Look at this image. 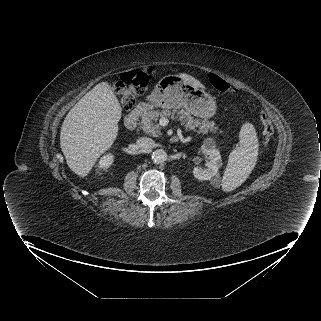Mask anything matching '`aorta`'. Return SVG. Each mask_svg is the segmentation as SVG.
<instances>
[{"label":"aorta","instance_id":"obj_1","mask_svg":"<svg viewBox=\"0 0 321 321\" xmlns=\"http://www.w3.org/2000/svg\"><path fill=\"white\" fill-rule=\"evenodd\" d=\"M152 160L157 164L164 163L167 160V153L163 149H157L152 153Z\"/></svg>","mask_w":321,"mask_h":321}]
</instances>
